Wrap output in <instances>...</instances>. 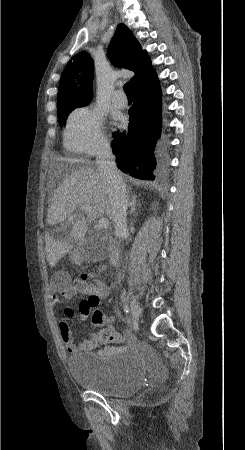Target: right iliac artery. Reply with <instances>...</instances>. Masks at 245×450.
Instances as JSON below:
<instances>
[{
    "mask_svg": "<svg viewBox=\"0 0 245 450\" xmlns=\"http://www.w3.org/2000/svg\"><path fill=\"white\" fill-rule=\"evenodd\" d=\"M124 312H125L126 314H129V308H128L127 305H124Z\"/></svg>",
    "mask_w": 245,
    "mask_h": 450,
    "instance_id": "82829eb1",
    "label": "right iliac artery"
}]
</instances>
